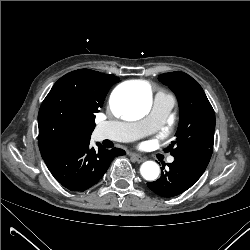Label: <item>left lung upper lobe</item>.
<instances>
[{"instance_id": "obj_1", "label": "left lung upper lobe", "mask_w": 250, "mask_h": 250, "mask_svg": "<svg viewBox=\"0 0 250 250\" xmlns=\"http://www.w3.org/2000/svg\"><path fill=\"white\" fill-rule=\"evenodd\" d=\"M159 80L175 93L180 107L176 140L166 149L172 156L186 151L213 149L215 114L201 86L188 74H161Z\"/></svg>"}]
</instances>
